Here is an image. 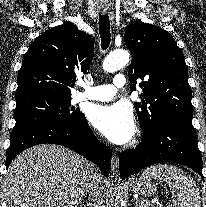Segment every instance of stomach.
<instances>
[{"instance_id": "stomach-1", "label": "stomach", "mask_w": 206, "mask_h": 207, "mask_svg": "<svg viewBox=\"0 0 206 207\" xmlns=\"http://www.w3.org/2000/svg\"><path fill=\"white\" fill-rule=\"evenodd\" d=\"M128 187L134 193L149 197L156 194L157 184L150 177L140 176L138 178L130 179L128 181Z\"/></svg>"}]
</instances>
